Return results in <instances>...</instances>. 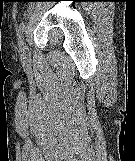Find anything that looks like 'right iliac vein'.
Listing matches in <instances>:
<instances>
[{"label":"right iliac vein","instance_id":"right-iliac-vein-1","mask_svg":"<svg viewBox=\"0 0 135 161\" xmlns=\"http://www.w3.org/2000/svg\"><path fill=\"white\" fill-rule=\"evenodd\" d=\"M20 54H21V57L23 58L24 61L29 60L30 56H29V53H28L27 45L24 42L21 46Z\"/></svg>","mask_w":135,"mask_h":161}]
</instances>
